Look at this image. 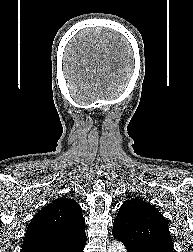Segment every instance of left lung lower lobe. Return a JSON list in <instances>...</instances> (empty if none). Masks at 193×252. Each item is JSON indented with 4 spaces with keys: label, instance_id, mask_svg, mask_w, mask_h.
<instances>
[{
    "label": "left lung lower lobe",
    "instance_id": "0a47b994",
    "mask_svg": "<svg viewBox=\"0 0 193 252\" xmlns=\"http://www.w3.org/2000/svg\"><path fill=\"white\" fill-rule=\"evenodd\" d=\"M135 252H171V251L167 249H162V248H150V249H143V250H139Z\"/></svg>",
    "mask_w": 193,
    "mask_h": 252
}]
</instances>
